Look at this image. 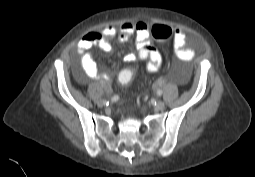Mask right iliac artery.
I'll return each mask as SVG.
<instances>
[{
    "mask_svg": "<svg viewBox=\"0 0 255 177\" xmlns=\"http://www.w3.org/2000/svg\"><path fill=\"white\" fill-rule=\"evenodd\" d=\"M118 99H119V97H118L117 95H115V96H113V97L111 98V100H112L113 102L118 101Z\"/></svg>",
    "mask_w": 255,
    "mask_h": 177,
    "instance_id": "right-iliac-artery-1",
    "label": "right iliac artery"
}]
</instances>
